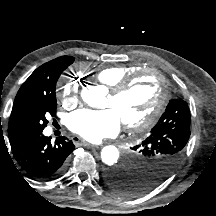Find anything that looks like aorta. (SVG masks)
<instances>
[{
    "mask_svg": "<svg viewBox=\"0 0 216 216\" xmlns=\"http://www.w3.org/2000/svg\"><path fill=\"white\" fill-rule=\"evenodd\" d=\"M105 95L106 91L102 87L91 86L81 91L83 101L91 107H99ZM101 159L106 165H114L119 159V150L113 145L105 146L101 151Z\"/></svg>",
    "mask_w": 216,
    "mask_h": 216,
    "instance_id": "obj_1",
    "label": "aorta"
}]
</instances>
